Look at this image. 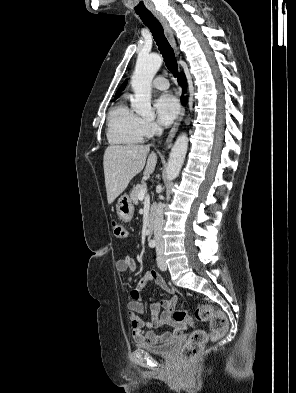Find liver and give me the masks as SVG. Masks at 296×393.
<instances>
[{
  "label": "liver",
  "mask_w": 296,
  "mask_h": 393,
  "mask_svg": "<svg viewBox=\"0 0 296 393\" xmlns=\"http://www.w3.org/2000/svg\"><path fill=\"white\" fill-rule=\"evenodd\" d=\"M149 151L148 145H112L106 148L103 167L108 204L114 202L144 167V177L154 172L157 155L154 152L149 154Z\"/></svg>",
  "instance_id": "1"
}]
</instances>
